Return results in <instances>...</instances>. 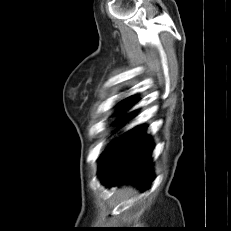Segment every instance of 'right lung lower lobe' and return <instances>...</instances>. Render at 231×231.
I'll use <instances>...</instances> for the list:
<instances>
[{
  "label": "right lung lower lobe",
  "mask_w": 231,
  "mask_h": 231,
  "mask_svg": "<svg viewBox=\"0 0 231 231\" xmlns=\"http://www.w3.org/2000/svg\"><path fill=\"white\" fill-rule=\"evenodd\" d=\"M153 143L146 128H133L112 141L100 157L98 175L108 187L122 182L147 189L153 181Z\"/></svg>",
  "instance_id": "right-lung-lower-lobe-1"
}]
</instances>
